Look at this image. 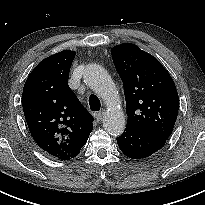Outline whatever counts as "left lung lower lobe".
Instances as JSON below:
<instances>
[{"mask_svg": "<svg viewBox=\"0 0 205 205\" xmlns=\"http://www.w3.org/2000/svg\"><path fill=\"white\" fill-rule=\"evenodd\" d=\"M166 140L160 136L126 126L123 134L117 138V143L127 157L142 159L160 150Z\"/></svg>", "mask_w": 205, "mask_h": 205, "instance_id": "0a47b994", "label": "left lung lower lobe"}]
</instances>
